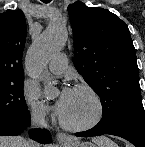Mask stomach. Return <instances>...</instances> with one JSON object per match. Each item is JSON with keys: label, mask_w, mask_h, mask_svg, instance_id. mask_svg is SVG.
Here are the masks:
<instances>
[{"label": "stomach", "mask_w": 145, "mask_h": 147, "mask_svg": "<svg viewBox=\"0 0 145 147\" xmlns=\"http://www.w3.org/2000/svg\"><path fill=\"white\" fill-rule=\"evenodd\" d=\"M63 147H95L94 144L90 142H79L77 140H74L70 143L64 144Z\"/></svg>", "instance_id": "1"}]
</instances>
